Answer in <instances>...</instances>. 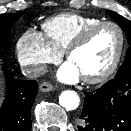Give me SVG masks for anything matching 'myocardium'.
I'll return each instance as SVG.
<instances>
[{
    "instance_id": "f54148a6",
    "label": "myocardium",
    "mask_w": 131,
    "mask_h": 131,
    "mask_svg": "<svg viewBox=\"0 0 131 131\" xmlns=\"http://www.w3.org/2000/svg\"><path fill=\"white\" fill-rule=\"evenodd\" d=\"M104 26H112L114 27L118 34H119V47L117 50V53L111 62V64L101 73L94 75V76H83L81 77L82 80L88 84H98L105 80H107L118 68L123 54L125 50L126 45V37L124 30L122 27L113 21H100L95 24H92L85 28L82 32H80L75 39L68 45V47L65 50V57L69 61L71 55L78 49H80L82 46H84L90 37L100 28Z\"/></svg>"
}]
</instances>
